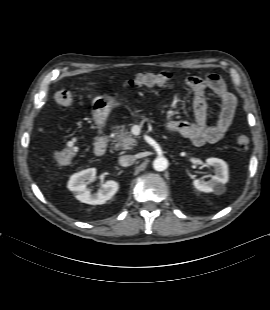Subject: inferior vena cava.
Returning <instances> with one entry per match:
<instances>
[{"instance_id": "inferior-vena-cava-1", "label": "inferior vena cava", "mask_w": 270, "mask_h": 310, "mask_svg": "<svg viewBox=\"0 0 270 310\" xmlns=\"http://www.w3.org/2000/svg\"><path fill=\"white\" fill-rule=\"evenodd\" d=\"M135 162V157L133 155H123L119 157V164L123 167H128Z\"/></svg>"}]
</instances>
